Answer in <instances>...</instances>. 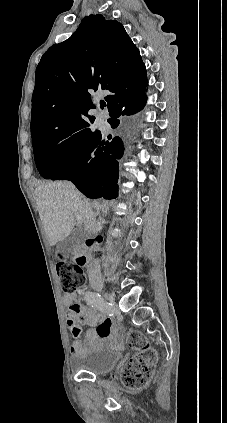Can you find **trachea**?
Here are the masks:
<instances>
[{"mask_svg": "<svg viewBox=\"0 0 227 423\" xmlns=\"http://www.w3.org/2000/svg\"><path fill=\"white\" fill-rule=\"evenodd\" d=\"M100 105H101L102 107H104V106H105V102H104V101L100 102Z\"/></svg>", "mask_w": 227, "mask_h": 423, "instance_id": "1", "label": "trachea"}]
</instances>
